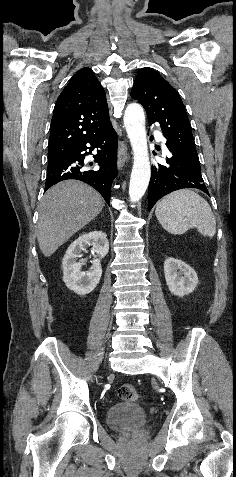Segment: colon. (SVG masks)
<instances>
[{
	"label": "colon",
	"mask_w": 236,
	"mask_h": 477,
	"mask_svg": "<svg viewBox=\"0 0 236 477\" xmlns=\"http://www.w3.org/2000/svg\"><path fill=\"white\" fill-rule=\"evenodd\" d=\"M118 395L123 400L137 401L139 393L136 387L132 384H123L118 389Z\"/></svg>",
	"instance_id": "1"
}]
</instances>
